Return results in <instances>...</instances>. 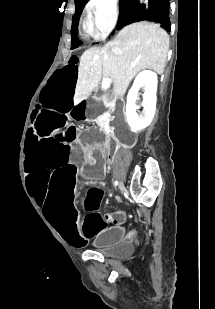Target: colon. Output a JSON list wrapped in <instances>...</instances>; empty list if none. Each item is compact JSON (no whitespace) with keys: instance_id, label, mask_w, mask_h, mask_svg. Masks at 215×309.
<instances>
[{"instance_id":"5ec220e1","label":"colon","mask_w":215,"mask_h":309,"mask_svg":"<svg viewBox=\"0 0 215 309\" xmlns=\"http://www.w3.org/2000/svg\"><path fill=\"white\" fill-rule=\"evenodd\" d=\"M98 219H99V217L94 215V217L92 218V221H97Z\"/></svg>"}]
</instances>
